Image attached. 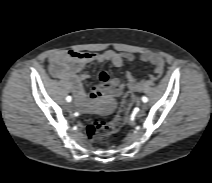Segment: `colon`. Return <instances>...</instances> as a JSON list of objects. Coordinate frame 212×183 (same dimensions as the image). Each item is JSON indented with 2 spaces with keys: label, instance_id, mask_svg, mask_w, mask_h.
<instances>
[{
  "label": "colon",
  "instance_id": "obj_1",
  "mask_svg": "<svg viewBox=\"0 0 212 183\" xmlns=\"http://www.w3.org/2000/svg\"><path fill=\"white\" fill-rule=\"evenodd\" d=\"M134 101V95L128 92L122 100L117 114L108 121L94 119L87 126L88 137L92 141H101L117 132L126 122L129 110Z\"/></svg>",
  "mask_w": 212,
  "mask_h": 183
}]
</instances>
